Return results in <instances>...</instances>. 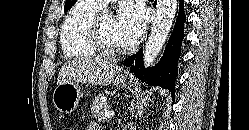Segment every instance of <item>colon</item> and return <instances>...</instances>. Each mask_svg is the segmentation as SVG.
Returning a JSON list of instances; mask_svg holds the SVG:
<instances>
[{"mask_svg":"<svg viewBox=\"0 0 249 130\" xmlns=\"http://www.w3.org/2000/svg\"><path fill=\"white\" fill-rule=\"evenodd\" d=\"M62 130H74V129H73V127H71V126H66V127H64Z\"/></svg>","mask_w":249,"mask_h":130,"instance_id":"1","label":"colon"}]
</instances>
